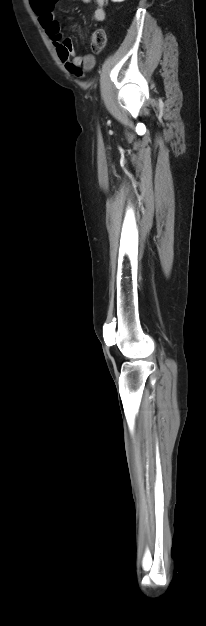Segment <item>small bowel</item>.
<instances>
[{
    "label": "small bowel",
    "mask_w": 206,
    "mask_h": 626,
    "mask_svg": "<svg viewBox=\"0 0 206 626\" xmlns=\"http://www.w3.org/2000/svg\"><path fill=\"white\" fill-rule=\"evenodd\" d=\"M90 3L92 0H82ZM96 8L94 19L103 22L106 19V0H94ZM54 0H30V3L39 17V22L50 38L57 55L64 64L66 70L73 75L81 76L83 72L93 68L95 59L90 54H76L70 38L62 34L60 24L53 13Z\"/></svg>",
    "instance_id": "1"
}]
</instances>
